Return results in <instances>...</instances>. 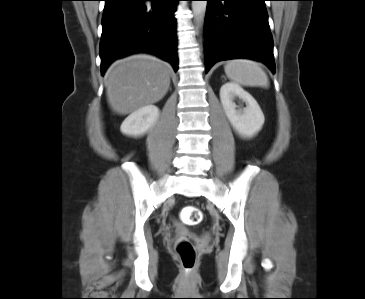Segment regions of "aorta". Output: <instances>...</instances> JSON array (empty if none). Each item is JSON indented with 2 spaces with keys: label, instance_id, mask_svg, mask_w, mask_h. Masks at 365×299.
Wrapping results in <instances>:
<instances>
[{
  "label": "aorta",
  "instance_id": "aorta-1",
  "mask_svg": "<svg viewBox=\"0 0 365 299\" xmlns=\"http://www.w3.org/2000/svg\"><path fill=\"white\" fill-rule=\"evenodd\" d=\"M207 7V1H192V11L194 16V21L197 24H201L205 17Z\"/></svg>",
  "mask_w": 365,
  "mask_h": 299
}]
</instances>
